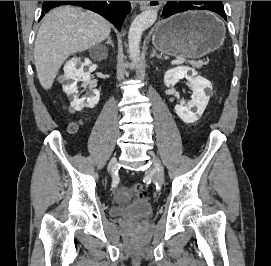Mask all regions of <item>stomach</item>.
Wrapping results in <instances>:
<instances>
[{"label": "stomach", "instance_id": "stomach-1", "mask_svg": "<svg viewBox=\"0 0 271 266\" xmlns=\"http://www.w3.org/2000/svg\"><path fill=\"white\" fill-rule=\"evenodd\" d=\"M225 30L207 11H189L159 22L152 43L162 53L181 58H200L221 46Z\"/></svg>", "mask_w": 271, "mask_h": 266}]
</instances>
